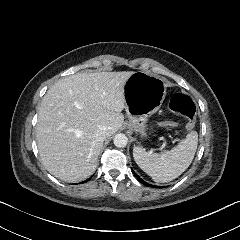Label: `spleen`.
Instances as JSON below:
<instances>
[{
	"label": "spleen",
	"mask_w": 240,
	"mask_h": 240,
	"mask_svg": "<svg viewBox=\"0 0 240 240\" xmlns=\"http://www.w3.org/2000/svg\"><path fill=\"white\" fill-rule=\"evenodd\" d=\"M198 147V133L192 131L177 148L163 154L148 153L135 146L133 157L137 165L157 183H168L182 175L192 164Z\"/></svg>",
	"instance_id": "spleen-1"
}]
</instances>
